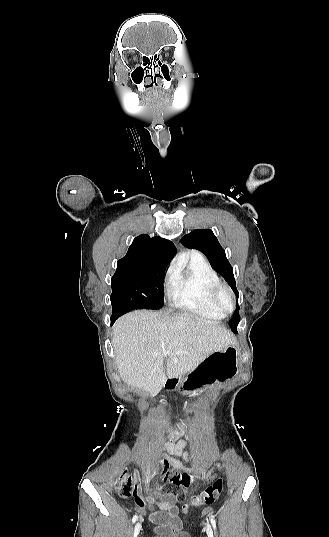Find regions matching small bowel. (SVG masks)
<instances>
[{
  "label": "small bowel",
  "mask_w": 329,
  "mask_h": 537,
  "mask_svg": "<svg viewBox=\"0 0 329 537\" xmlns=\"http://www.w3.org/2000/svg\"><path fill=\"white\" fill-rule=\"evenodd\" d=\"M159 472L162 474L164 482L171 485L167 491L161 487L159 493H140L135 495L137 509L145 513L147 507L155 505L160 511L152 512L149 519L157 525L156 530L164 528L179 529L182 527V521L179 518V506L184 505L187 496L180 492V486H189L192 482V476L189 474L192 469L185 467L179 460L172 456H182L190 458L188 445L185 442L168 443L162 449ZM213 471L204 475L205 481L211 480ZM177 503V504H176Z\"/></svg>",
  "instance_id": "small-bowel-1"
}]
</instances>
